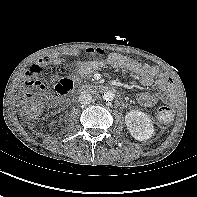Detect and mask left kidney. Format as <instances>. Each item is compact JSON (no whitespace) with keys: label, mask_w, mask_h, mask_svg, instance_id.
<instances>
[{"label":"left kidney","mask_w":197,"mask_h":197,"mask_svg":"<svg viewBox=\"0 0 197 197\" xmlns=\"http://www.w3.org/2000/svg\"><path fill=\"white\" fill-rule=\"evenodd\" d=\"M125 123L132 137L146 141L154 134V126L150 117L139 110H132L125 115Z\"/></svg>","instance_id":"left-kidney-1"}]
</instances>
